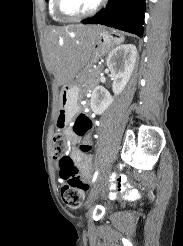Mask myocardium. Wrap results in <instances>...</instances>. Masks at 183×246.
Instances as JSON below:
<instances>
[{
  "label": "myocardium",
  "instance_id": "f54148a6",
  "mask_svg": "<svg viewBox=\"0 0 183 246\" xmlns=\"http://www.w3.org/2000/svg\"><path fill=\"white\" fill-rule=\"evenodd\" d=\"M104 2L105 0H98L90 10L81 14L73 15L64 11L62 7V0H54V10L57 16H59L61 19L68 21H77L94 15L97 11H99Z\"/></svg>",
  "mask_w": 183,
  "mask_h": 246
}]
</instances>
